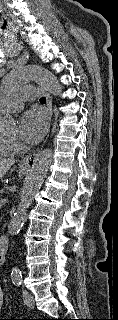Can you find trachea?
I'll return each mask as SVG.
<instances>
[{
    "mask_svg": "<svg viewBox=\"0 0 118 320\" xmlns=\"http://www.w3.org/2000/svg\"><path fill=\"white\" fill-rule=\"evenodd\" d=\"M40 102H41V103H45V102H46L45 97L40 98Z\"/></svg>",
    "mask_w": 118,
    "mask_h": 320,
    "instance_id": "1",
    "label": "trachea"
}]
</instances>
